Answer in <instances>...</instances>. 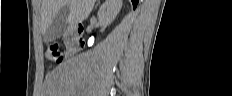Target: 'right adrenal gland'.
<instances>
[{
	"instance_id": "obj_1",
	"label": "right adrenal gland",
	"mask_w": 232,
	"mask_h": 96,
	"mask_svg": "<svg viewBox=\"0 0 232 96\" xmlns=\"http://www.w3.org/2000/svg\"><path fill=\"white\" fill-rule=\"evenodd\" d=\"M100 2V0H98V3ZM98 6V4L96 5V7Z\"/></svg>"
}]
</instances>
